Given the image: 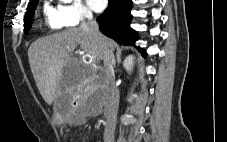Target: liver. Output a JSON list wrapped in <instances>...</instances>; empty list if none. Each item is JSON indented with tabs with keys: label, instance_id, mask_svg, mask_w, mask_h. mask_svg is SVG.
I'll list each match as a JSON object with an SVG mask.
<instances>
[{
	"label": "liver",
	"instance_id": "6515ba94",
	"mask_svg": "<svg viewBox=\"0 0 227 142\" xmlns=\"http://www.w3.org/2000/svg\"><path fill=\"white\" fill-rule=\"evenodd\" d=\"M103 38L107 46L113 49L114 41L105 36ZM78 46L89 61H81L84 68L74 79L62 82L64 69L71 62L72 53ZM28 59L37 88L45 102L51 105L57 98L59 89L62 93H67L75 86L89 83L95 86V68L102 58L98 43L91 35L81 28H70L33 42L28 49ZM78 103L80 104L79 101Z\"/></svg>",
	"mask_w": 227,
	"mask_h": 142
}]
</instances>
